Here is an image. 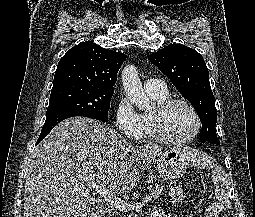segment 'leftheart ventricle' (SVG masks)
Segmentation results:
<instances>
[{
	"instance_id": "1",
	"label": "left heart ventricle",
	"mask_w": 255,
	"mask_h": 217,
	"mask_svg": "<svg viewBox=\"0 0 255 217\" xmlns=\"http://www.w3.org/2000/svg\"><path fill=\"white\" fill-rule=\"evenodd\" d=\"M164 128L167 135L171 138L185 139L194 132L196 120L187 106L176 104L166 113Z\"/></svg>"
}]
</instances>
